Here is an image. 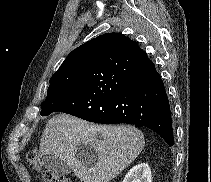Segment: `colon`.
<instances>
[{"label": "colon", "mask_w": 211, "mask_h": 182, "mask_svg": "<svg viewBox=\"0 0 211 182\" xmlns=\"http://www.w3.org/2000/svg\"><path fill=\"white\" fill-rule=\"evenodd\" d=\"M27 159L36 170L40 171L42 182H72L69 178H66L62 175L49 170H42L39 154L36 150L29 151L27 154Z\"/></svg>", "instance_id": "obj_1"}]
</instances>
